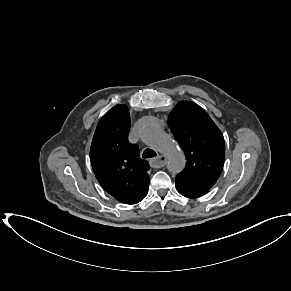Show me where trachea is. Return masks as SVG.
Segmentation results:
<instances>
[{
  "instance_id": "3493384b",
  "label": "trachea",
  "mask_w": 291,
  "mask_h": 291,
  "mask_svg": "<svg viewBox=\"0 0 291 291\" xmlns=\"http://www.w3.org/2000/svg\"><path fill=\"white\" fill-rule=\"evenodd\" d=\"M155 156H156L155 151H153L151 149L144 150V152L142 154L143 158H152V157H155Z\"/></svg>"
}]
</instances>
